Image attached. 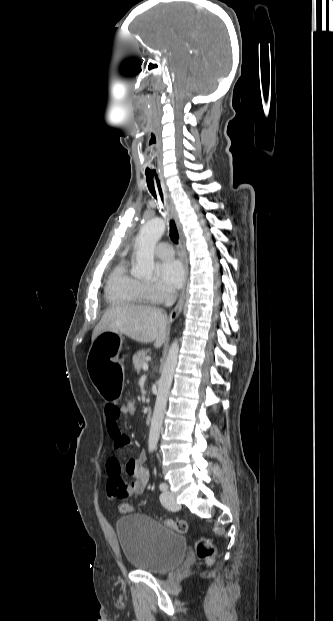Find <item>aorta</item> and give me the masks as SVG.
I'll return each instance as SVG.
<instances>
[{
    "instance_id": "aorta-1",
    "label": "aorta",
    "mask_w": 333,
    "mask_h": 621,
    "mask_svg": "<svg viewBox=\"0 0 333 621\" xmlns=\"http://www.w3.org/2000/svg\"><path fill=\"white\" fill-rule=\"evenodd\" d=\"M165 221L161 218H154L147 221L136 239V260L137 266L135 275L145 279H150L154 271V250L157 242L165 231ZM179 353V343L175 340L168 351V355L158 382V393L156 397L153 416L148 439V450L153 452L156 449L160 430L163 423L164 413L167 406L168 395L173 382L174 372L177 366Z\"/></svg>"
}]
</instances>
